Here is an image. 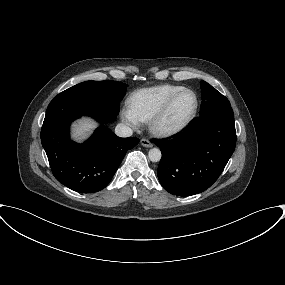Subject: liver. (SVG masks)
<instances>
[{
    "label": "liver",
    "instance_id": "obj_1",
    "mask_svg": "<svg viewBox=\"0 0 285 285\" xmlns=\"http://www.w3.org/2000/svg\"><path fill=\"white\" fill-rule=\"evenodd\" d=\"M96 127V123L89 119H83L74 125V137L83 138Z\"/></svg>",
    "mask_w": 285,
    "mask_h": 285
}]
</instances>
